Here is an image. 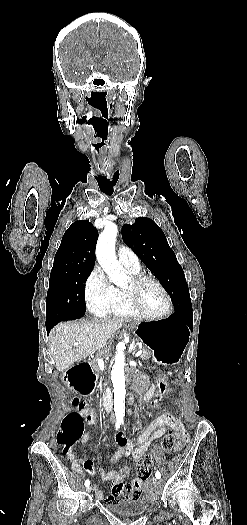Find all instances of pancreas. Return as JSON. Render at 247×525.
<instances>
[{"label": "pancreas", "instance_id": "obj_1", "mask_svg": "<svg viewBox=\"0 0 247 525\" xmlns=\"http://www.w3.org/2000/svg\"><path fill=\"white\" fill-rule=\"evenodd\" d=\"M152 353V347H146L145 349H143V354H141V357L144 361H147L149 359V355ZM89 363L92 367V369H94L95 373H101L99 367H98V363L95 362V357H91V359H89Z\"/></svg>", "mask_w": 247, "mask_h": 525}]
</instances>
